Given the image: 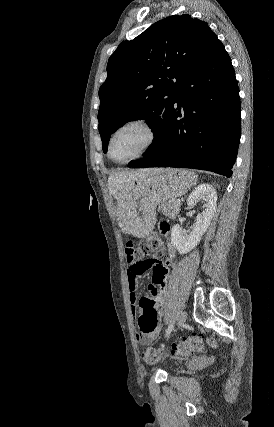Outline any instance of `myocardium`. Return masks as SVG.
Instances as JSON below:
<instances>
[{"instance_id": "f54148a6", "label": "myocardium", "mask_w": 274, "mask_h": 427, "mask_svg": "<svg viewBox=\"0 0 274 427\" xmlns=\"http://www.w3.org/2000/svg\"><path fill=\"white\" fill-rule=\"evenodd\" d=\"M130 126H138L140 128H142L143 130L146 131L147 135H148V140L146 142V144L140 149V151L135 154L132 158L126 160V161H118L116 160L112 154H111V144H112V140L114 138V136L121 131L122 129H125L127 127ZM158 131L156 129V127L154 126V124L147 118L145 117H136L133 119H130L122 124H120L119 126H117L112 133L110 134L108 141H107V155L110 158V160H112L114 163L119 164V165H125L128 163H131L132 161H135L143 156H145L157 143L158 141Z\"/></svg>"}]
</instances>
